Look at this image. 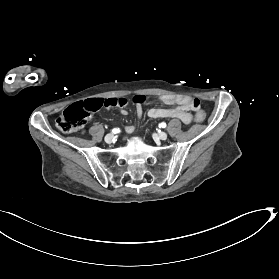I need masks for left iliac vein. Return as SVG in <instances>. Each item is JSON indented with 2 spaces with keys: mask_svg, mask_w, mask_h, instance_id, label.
Returning a JSON list of instances; mask_svg holds the SVG:
<instances>
[{
  "mask_svg": "<svg viewBox=\"0 0 279 279\" xmlns=\"http://www.w3.org/2000/svg\"><path fill=\"white\" fill-rule=\"evenodd\" d=\"M157 137L161 140H166L167 139V134L165 132H159L158 134H156Z\"/></svg>",
  "mask_w": 279,
  "mask_h": 279,
  "instance_id": "4c4485c4",
  "label": "left iliac vein"
}]
</instances>
